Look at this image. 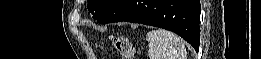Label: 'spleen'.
Masks as SVG:
<instances>
[{"label": "spleen", "mask_w": 261, "mask_h": 59, "mask_svg": "<svg viewBox=\"0 0 261 59\" xmlns=\"http://www.w3.org/2000/svg\"><path fill=\"white\" fill-rule=\"evenodd\" d=\"M151 59H187L183 40L166 30H152L146 34Z\"/></svg>", "instance_id": "1"}]
</instances>
